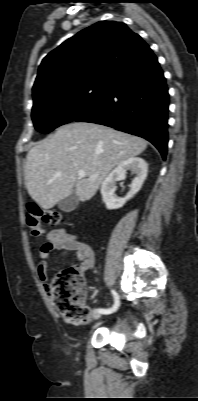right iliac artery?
Wrapping results in <instances>:
<instances>
[{
    "mask_svg": "<svg viewBox=\"0 0 198 401\" xmlns=\"http://www.w3.org/2000/svg\"><path fill=\"white\" fill-rule=\"evenodd\" d=\"M112 294L114 296V301H115L114 305L107 309H103V308L97 309V311L101 312L102 314H111L117 310V308L119 306V297H118V294L114 290H112Z\"/></svg>",
    "mask_w": 198,
    "mask_h": 401,
    "instance_id": "1",
    "label": "right iliac artery"
}]
</instances>
